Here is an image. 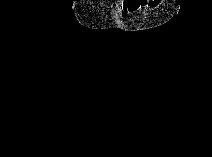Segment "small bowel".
Listing matches in <instances>:
<instances>
[{
  "instance_id": "obj_1",
  "label": "small bowel",
  "mask_w": 212,
  "mask_h": 157,
  "mask_svg": "<svg viewBox=\"0 0 212 157\" xmlns=\"http://www.w3.org/2000/svg\"><path fill=\"white\" fill-rule=\"evenodd\" d=\"M156 0H127L119 5L117 16L120 18L127 17L130 13L140 9L141 7H155Z\"/></svg>"
}]
</instances>
